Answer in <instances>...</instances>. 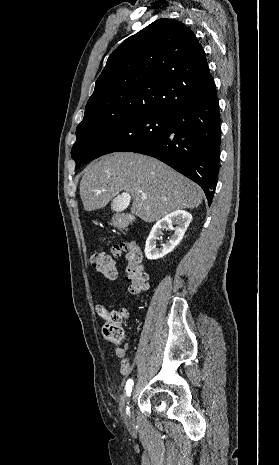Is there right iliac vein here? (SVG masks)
Returning <instances> with one entry per match:
<instances>
[{"label":"right iliac vein","mask_w":279,"mask_h":465,"mask_svg":"<svg viewBox=\"0 0 279 465\" xmlns=\"http://www.w3.org/2000/svg\"><path fill=\"white\" fill-rule=\"evenodd\" d=\"M133 400H134V393H133V397L129 399V402H132ZM127 423H131V420L127 419Z\"/></svg>","instance_id":"right-iliac-vein-1"}]
</instances>
